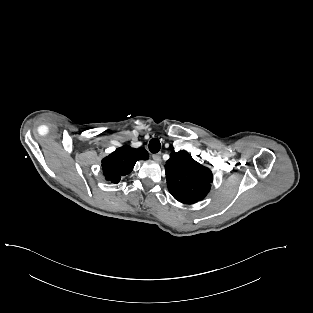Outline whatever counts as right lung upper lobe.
I'll return each instance as SVG.
<instances>
[{
    "mask_svg": "<svg viewBox=\"0 0 313 313\" xmlns=\"http://www.w3.org/2000/svg\"><path fill=\"white\" fill-rule=\"evenodd\" d=\"M148 152L143 148L120 147L109 156L103 158L102 168L107 181L119 183L123 176L128 175L138 160H147Z\"/></svg>",
    "mask_w": 313,
    "mask_h": 313,
    "instance_id": "right-lung-upper-lobe-1",
    "label": "right lung upper lobe"
}]
</instances>
